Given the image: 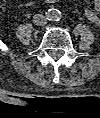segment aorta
<instances>
[{"mask_svg": "<svg viewBox=\"0 0 100 118\" xmlns=\"http://www.w3.org/2000/svg\"><path fill=\"white\" fill-rule=\"evenodd\" d=\"M46 16L50 21H59L62 17V14L58 9L51 8L47 11Z\"/></svg>", "mask_w": 100, "mask_h": 118, "instance_id": "762f6f07", "label": "aorta"}]
</instances>
